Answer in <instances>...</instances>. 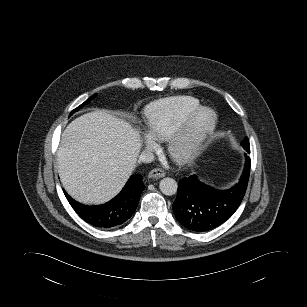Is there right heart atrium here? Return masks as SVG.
I'll return each instance as SVG.
<instances>
[{
  "instance_id": "1",
  "label": "right heart atrium",
  "mask_w": 307,
  "mask_h": 307,
  "mask_svg": "<svg viewBox=\"0 0 307 307\" xmlns=\"http://www.w3.org/2000/svg\"><path fill=\"white\" fill-rule=\"evenodd\" d=\"M145 145H146L147 149H153V148H155L156 143H155L153 138H151L149 135H147L145 137Z\"/></svg>"
}]
</instances>
